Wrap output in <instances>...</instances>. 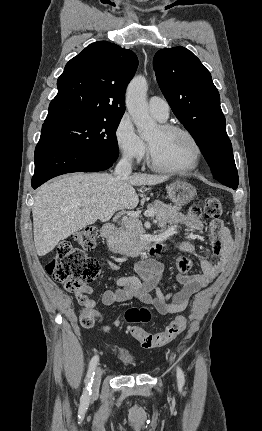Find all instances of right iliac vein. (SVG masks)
<instances>
[{"label": "right iliac vein", "mask_w": 262, "mask_h": 431, "mask_svg": "<svg viewBox=\"0 0 262 431\" xmlns=\"http://www.w3.org/2000/svg\"><path fill=\"white\" fill-rule=\"evenodd\" d=\"M102 371L100 367H97L94 372L93 389H97L100 386Z\"/></svg>", "instance_id": "63e3f726"}]
</instances>
